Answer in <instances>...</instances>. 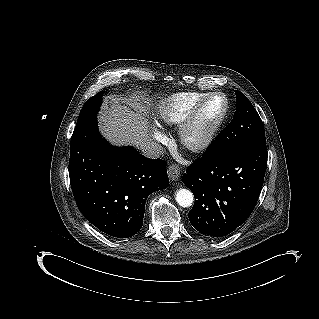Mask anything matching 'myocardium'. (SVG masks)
<instances>
[{"label":"myocardium","mask_w":319,"mask_h":319,"mask_svg":"<svg viewBox=\"0 0 319 319\" xmlns=\"http://www.w3.org/2000/svg\"><path fill=\"white\" fill-rule=\"evenodd\" d=\"M214 98H221L223 100V108L220 114L204 134H202L199 138L192 140L190 138V134L195 128L203 108ZM228 108V101L223 93L212 92L207 94L194 106L186 119L178 126L177 139L180 147L195 153L206 149L211 144L219 128L221 127L227 115Z\"/></svg>","instance_id":"1"}]
</instances>
